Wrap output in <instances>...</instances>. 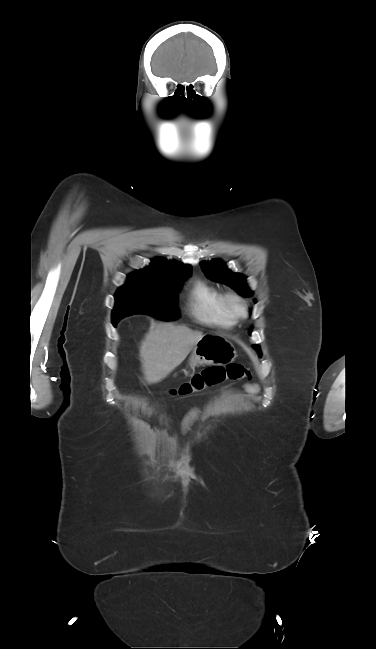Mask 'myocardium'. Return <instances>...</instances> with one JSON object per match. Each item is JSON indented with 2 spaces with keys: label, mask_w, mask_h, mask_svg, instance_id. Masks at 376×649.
<instances>
[{
  "label": "myocardium",
  "mask_w": 376,
  "mask_h": 649,
  "mask_svg": "<svg viewBox=\"0 0 376 649\" xmlns=\"http://www.w3.org/2000/svg\"><path fill=\"white\" fill-rule=\"evenodd\" d=\"M224 296L226 306L230 313L236 318L245 317L248 308L246 300L241 295L234 292L226 293Z\"/></svg>",
  "instance_id": "myocardium-1"
}]
</instances>
